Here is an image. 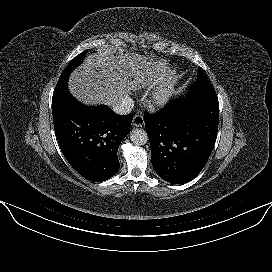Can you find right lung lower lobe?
I'll use <instances>...</instances> for the list:
<instances>
[{
  "mask_svg": "<svg viewBox=\"0 0 272 272\" xmlns=\"http://www.w3.org/2000/svg\"><path fill=\"white\" fill-rule=\"evenodd\" d=\"M55 134L69 164L84 178L105 181L116 174L121 141L133 117L118 115L107 106L87 107L68 89L52 98Z\"/></svg>",
  "mask_w": 272,
  "mask_h": 272,
  "instance_id": "98d812e1",
  "label": "right lung lower lobe"
}]
</instances>
